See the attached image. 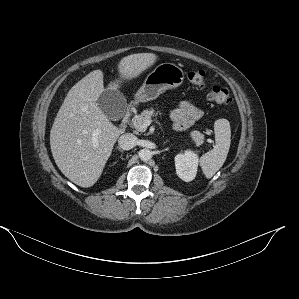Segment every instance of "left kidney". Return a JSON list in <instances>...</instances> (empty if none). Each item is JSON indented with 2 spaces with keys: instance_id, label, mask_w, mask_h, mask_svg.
<instances>
[{
  "instance_id": "1",
  "label": "left kidney",
  "mask_w": 299,
  "mask_h": 299,
  "mask_svg": "<svg viewBox=\"0 0 299 299\" xmlns=\"http://www.w3.org/2000/svg\"><path fill=\"white\" fill-rule=\"evenodd\" d=\"M199 158L196 153L186 150L175 156L176 173L185 182L192 181L197 173Z\"/></svg>"
}]
</instances>
